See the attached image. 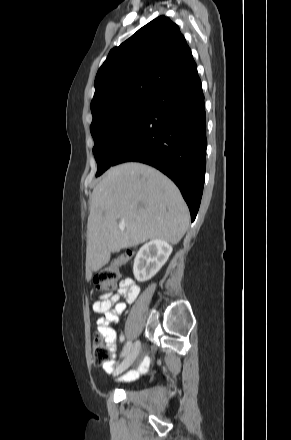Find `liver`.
Masks as SVG:
<instances>
[{
    "label": "liver",
    "instance_id": "1",
    "mask_svg": "<svg viewBox=\"0 0 291 440\" xmlns=\"http://www.w3.org/2000/svg\"><path fill=\"white\" fill-rule=\"evenodd\" d=\"M123 222L124 229L118 224ZM189 210L177 186L141 163L111 167L93 189L87 223L86 278L110 253L147 240L177 244L189 227Z\"/></svg>",
    "mask_w": 291,
    "mask_h": 440
}]
</instances>
